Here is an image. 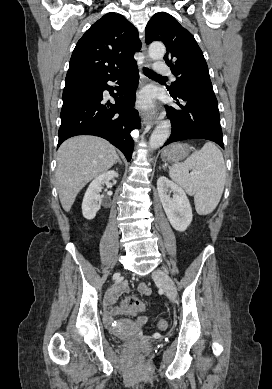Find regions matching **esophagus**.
<instances>
[{
  "label": "esophagus",
  "instance_id": "34e87169",
  "mask_svg": "<svg viewBox=\"0 0 272 389\" xmlns=\"http://www.w3.org/2000/svg\"><path fill=\"white\" fill-rule=\"evenodd\" d=\"M142 51L144 54L143 65L149 66L151 64V60L149 59V57L147 55V47H146L145 43H143ZM143 120L145 123L155 125L160 120V113L159 112H144L143 113Z\"/></svg>",
  "mask_w": 272,
  "mask_h": 389
}]
</instances>
